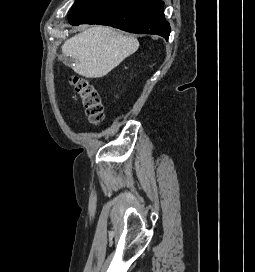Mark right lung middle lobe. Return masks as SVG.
Wrapping results in <instances>:
<instances>
[{
    "label": "right lung middle lobe",
    "instance_id": "dd1d6c3e",
    "mask_svg": "<svg viewBox=\"0 0 255 272\" xmlns=\"http://www.w3.org/2000/svg\"><path fill=\"white\" fill-rule=\"evenodd\" d=\"M89 1L90 0H76L75 4L72 6V12L69 14L68 18Z\"/></svg>",
    "mask_w": 255,
    "mask_h": 272
}]
</instances>
